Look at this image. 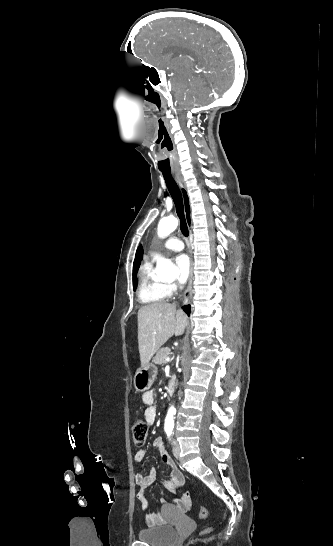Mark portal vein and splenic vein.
I'll use <instances>...</instances> for the list:
<instances>
[{"label": "portal vein and splenic vein", "mask_w": 333, "mask_h": 546, "mask_svg": "<svg viewBox=\"0 0 333 546\" xmlns=\"http://www.w3.org/2000/svg\"><path fill=\"white\" fill-rule=\"evenodd\" d=\"M166 361L169 362V361H170V358H169V357H166Z\"/></svg>", "instance_id": "18ae733b"}]
</instances>
